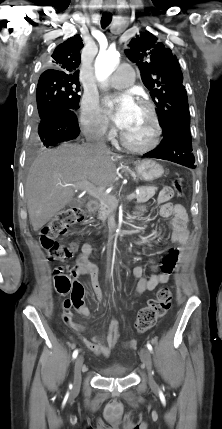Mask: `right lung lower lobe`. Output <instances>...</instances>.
<instances>
[{"label":"right lung lower lobe","mask_w":222,"mask_h":429,"mask_svg":"<svg viewBox=\"0 0 222 429\" xmlns=\"http://www.w3.org/2000/svg\"><path fill=\"white\" fill-rule=\"evenodd\" d=\"M79 133L73 110L63 107L49 109L39 122L38 134L46 147L75 139Z\"/></svg>","instance_id":"98d812e1"}]
</instances>
